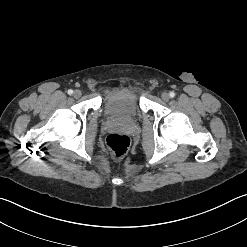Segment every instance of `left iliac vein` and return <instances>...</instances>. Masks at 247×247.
Instances as JSON below:
<instances>
[{"mask_svg":"<svg viewBox=\"0 0 247 247\" xmlns=\"http://www.w3.org/2000/svg\"><path fill=\"white\" fill-rule=\"evenodd\" d=\"M161 98L164 101H168L170 99V95L167 92H163L162 95H161Z\"/></svg>","mask_w":247,"mask_h":247,"instance_id":"4c4485c4","label":"left iliac vein"}]
</instances>
